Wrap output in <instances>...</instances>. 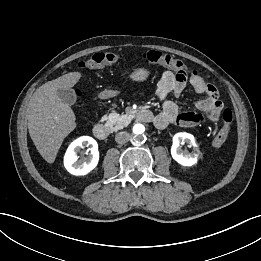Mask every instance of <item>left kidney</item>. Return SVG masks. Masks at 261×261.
Wrapping results in <instances>:
<instances>
[{"mask_svg":"<svg viewBox=\"0 0 261 261\" xmlns=\"http://www.w3.org/2000/svg\"><path fill=\"white\" fill-rule=\"evenodd\" d=\"M180 142H186L193 146V152L188 153L182 151L179 147ZM200 151L195 142V138L193 135L189 133H177L173 137V144L171 147V155L172 158L183 166H193L197 163V159L199 157Z\"/></svg>","mask_w":261,"mask_h":261,"instance_id":"obj_1","label":"left kidney"}]
</instances>
